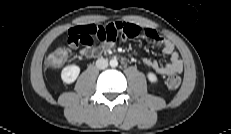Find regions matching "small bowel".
I'll return each mask as SVG.
<instances>
[{
  "mask_svg": "<svg viewBox=\"0 0 231 134\" xmlns=\"http://www.w3.org/2000/svg\"><path fill=\"white\" fill-rule=\"evenodd\" d=\"M118 34L124 39L141 36L153 44L161 45L163 52L170 57L169 63L160 65L156 60L145 58L144 64L155 73L163 76L181 73L183 62L175 50L173 42L165 39L155 30L141 27L128 22H110L107 24L77 25L69 29L67 43L72 49L83 45L80 54L83 57H91L100 52V47L93 48L94 38H97L104 47L112 48L115 45Z\"/></svg>",
  "mask_w": 231,
  "mask_h": 134,
  "instance_id": "c3829d8e",
  "label": "small bowel"
}]
</instances>
